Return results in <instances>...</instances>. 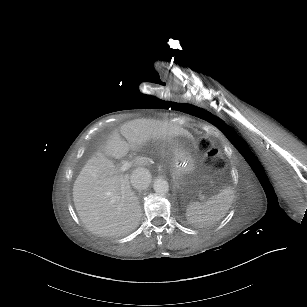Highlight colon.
<instances>
[{
  "instance_id": "1",
  "label": "colon",
  "mask_w": 307,
  "mask_h": 307,
  "mask_svg": "<svg viewBox=\"0 0 307 307\" xmlns=\"http://www.w3.org/2000/svg\"><path fill=\"white\" fill-rule=\"evenodd\" d=\"M199 149L206 152L205 165L208 168L216 167L219 171H226L229 168V161L225 158V153L212 148V142L209 139H202L199 142Z\"/></svg>"
}]
</instances>
